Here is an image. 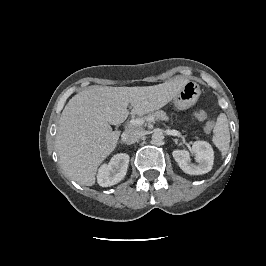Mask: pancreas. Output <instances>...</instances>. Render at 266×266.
Returning <instances> with one entry per match:
<instances>
[{
  "instance_id": "obj_1",
  "label": "pancreas",
  "mask_w": 266,
  "mask_h": 266,
  "mask_svg": "<svg viewBox=\"0 0 266 266\" xmlns=\"http://www.w3.org/2000/svg\"><path fill=\"white\" fill-rule=\"evenodd\" d=\"M154 117V118H157L159 120H163V121H168V116L167 114L163 111V110H158V111H155V112H152V113H149L148 115L146 116H140L139 118L141 119H147L148 117Z\"/></svg>"
}]
</instances>
